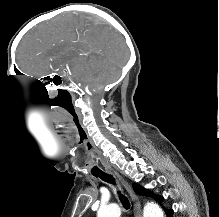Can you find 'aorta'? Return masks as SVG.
I'll list each match as a JSON object with an SVG mask.
<instances>
[{
  "label": "aorta",
  "instance_id": "aorta-1",
  "mask_svg": "<svg viewBox=\"0 0 219 217\" xmlns=\"http://www.w3.org/2000/svg\"><path fill=\"white\" fill-rule=\"evenodd\" d=\"M121 210L117 204H110L101 207L97 212V217H120ZM143 217H163L162 209L155 203H147L143 210Z\"/></svg>",
  "mask_w": 219,
  "mask_h": 217
}]
</instances>
